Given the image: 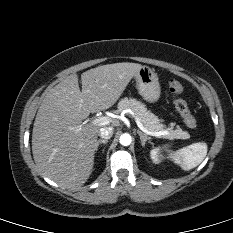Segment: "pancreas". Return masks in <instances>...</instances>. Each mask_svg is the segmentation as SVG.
<instances>
[{
  "label": "pancreas",
  "instance_id": "cf45deb5",
  "mask_svg": "<svg viewBox=\"0 0 233 233\" xmlns=\"http://www.w3.org/2000/svg\"><path fill=\"white\" fill-rule=\"evenodd\" d=\"M117 113L123 112L127 109H130L134 112L135 116L140 120L145 128L149 131H163L164 125L161 124V121L157 116H155L152 112L147 110L145 105L137 101L135 98H123L118 102L117 105ZM171 127L168 128L166 131L169 132L167 137L173 139H187L190 137L188 132L183 131L179 126L176 127V130H173L175 124L172 123Z\"/></svg>",
  "mask_w": 233,
  "mask_h": 233
}]
</instances>
